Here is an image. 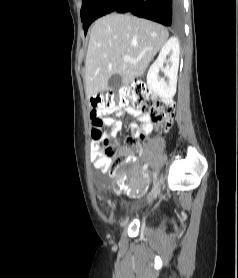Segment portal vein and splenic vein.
Listing matches in <instances>:
<instances>
[{"instance_id":"18ae733b","label":"portal vein and splenic vein","mask_w":238,"mask_h":278,"mask_svg":"<svg viewBox=\"0 0 238 278\" xmlns=\"http://www.w3.org/2000/svg\"><path fill=\"white\" fill-rule=\"evenodd\" d=\"M123 59H124V61L132 62V63L135 62V60H133V59H132L130 56H128V55H125V56L123 57Z\"/></svg>"}]
</instances>
